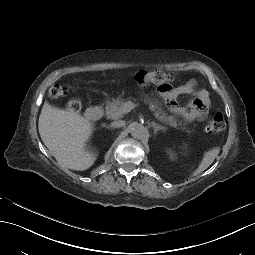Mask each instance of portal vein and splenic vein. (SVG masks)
<instances>
[{"label": "portal vein and splenic vein", "instance_id": "1", "mask_svg": "<svg viewBox=\"0 0 255 255\" xmlns=\"http://www.w3.org/2000/svg\"><path fill=\"white\" fill-rule=\"evenodd\" d=\"M135 107V104L131 102L130 100H127L123 106L124 112L131 113L133 111V108Z\"/></svg>", "mask_w": 255, "mask_h": 255}]
</instances>
